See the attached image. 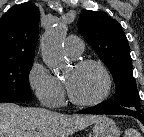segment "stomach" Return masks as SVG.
I'll use <instances>...</instances> for the list:
<instances>
[{
  "label": "stomach",
  "instance_id": "obj_1",
  "mask_svg": "<svg viewBox=\"0 0 144 137\" xmlns=\"http://www.w3.org/2000/svg\"><path fill=\"white\" fill-rule=\"evenodd\" d=\"M93 137H120V129L115 122L102 116L92 128Z\"/></svg>",
  "mask_w": 144,
  "mask_h": 137
}]
</instances>
